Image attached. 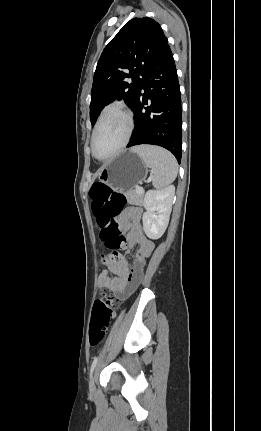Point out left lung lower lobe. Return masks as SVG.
<instances>
[{
  "instance_id": "left-lung-lower-lobe-1",
  "label": "left lung lower lobe",
  "mask_w": 261,
  "mask_h": 431,
  "mask_svg": "<svg viewBox=\"0 0 261 431\" xmlns=\"http://www.w3.org/2000/svg\"><path fill=\"white\" fill-rule=\"evenodd\" d=\"M143 90V92H142ZM144 105H148L144 107ZM135 128L127 147L152 144L181 162L182 109L177 71L167 45L153 61L133 107Z\"/></svg>"
}]
</instances>
